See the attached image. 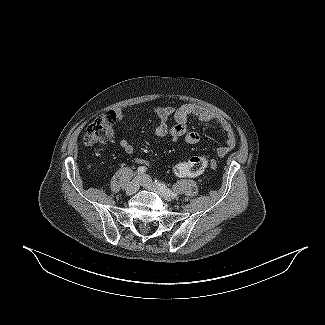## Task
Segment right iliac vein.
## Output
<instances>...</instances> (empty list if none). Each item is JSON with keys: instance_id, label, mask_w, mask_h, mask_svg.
Wrapping results in <instances>:
<instances>
[{"instance_id": "63e3f726", "label": "right iliac vein", "mask_w": 325, "mask_h": 325, "mask_svg": "<svg viewBox=\"0 0 325 325\" xmlns=\"http://www.w3.org/2000/svg\"><path fill=\"white\" fill-rule=\"evenodd\" d=\"M140 187V178L139 177H135L129 184L128 188H127V194L132 195L134 193H136L138 191Z\"/></svg>"}]
</instances>
